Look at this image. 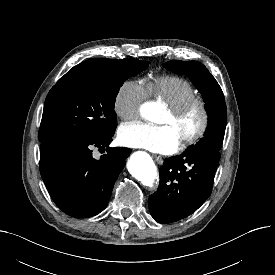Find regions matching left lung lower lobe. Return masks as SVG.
<instances>
[{"label": "left lung lower lobe", "instance_id": "1", "mask_svg": "<svg viewBox=\"0 0 275 275\" xmlns=\"http://www.w3.org/2000/svg\"><path fill=\"white\" fill-rule=\"evenodd\" d=\"M220 157L218 150L202 148L165 159L159 187L149 197L152 217L171 223L194 213L211 194Z\"/></svg>", "mask_w": 275, "mask_h": 275}]
</instances>
